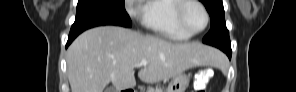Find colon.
Wrapping results in <instances>:
<instances>
[{"label":"colon","instance_id":"1","mask_svg":"<svg viewBox=\"0 0 296 92\" xmlns=\"http://www.w3.org/2000/svg\"><path fill=\"white\" fill-rule=\"evenodd\" d=\"M210 79V74L207 70L198 71L193 78V91L206 92V85Z\"/></svg>","mask_w":296,"mask_h":92}]
</instances>
